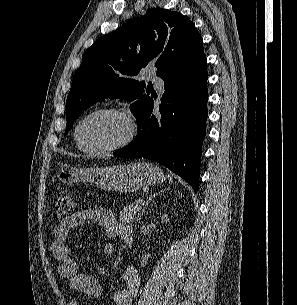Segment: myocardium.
I'll return each mask as SVG.
<instances>
[{"label":"myocardium","instance_id":"1","mask_svg":"<svg viewBox=\"0 0 297 305\" xmlns=\"http://www.w3.org/2000/svg\"><path fill=\"white\" fill-rule=\"evenodd\" d=\"M98 114H112L122 118L127 125V133L125 137L118 143L110 146H104V147L84 146L80 137L81 126L88 118ZM135 134H136V123L132 115L128 111L117 107H101L88 112L78 120L74 129V138L79 149L82 150L83 152L91 153V154H106L121 150L126 146H128L133 141V139L135 138Z\"/></svg>","mask_w":297,"mask_h":305}]
</instances>
